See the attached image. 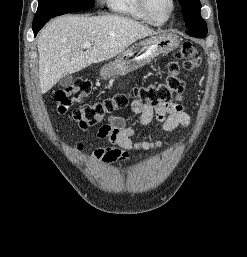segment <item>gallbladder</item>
I'll return each mask as SVG.
<instances>
[{"instance_id":"gallbladder-1","label":"gallbladder","mask_w":247,"mask_h":257,"mask_svg":"<svg viewBox=\"0 0 247 257\" xmlns=\"http://www.w3.org/2000/svg\"><path fill=\"white\" fill-rule=\"evenodd\" d=\"M72 81H73L72 75L66 73V74H64V75L60 78V80H59V85L62 86V87H67V86L71 85Z\"/></svg>"}]
</instances>
